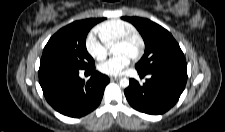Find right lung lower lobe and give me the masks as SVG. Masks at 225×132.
I'll list each match as a JSON object with an SVG mask.
<instances>
[{
  "mask_svg": "<svg viewBox=\"0 0 225 132\" xmlns=\"http://www.w3.org/2000/svg\"><path fill=\"white\" fill-rule=\"evenodd\" d=\"M79 70L63 66H40L39 82L47 102L63 115L78 118L98 107L109 78L95 72V65L84 69L93 72L85 82Z\"/></svg>",
  "mask_w": 225,
  "mask_h": 132,
  "instance_id": "right-lung-lower-lobe-1",
  "label": "right lung lower lobe"
}]
</instances>
